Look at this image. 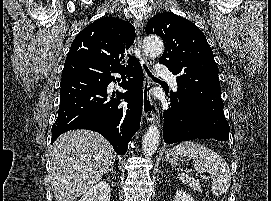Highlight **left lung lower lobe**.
Returning a JSON list of instances; mask_svg holds the SVG:
<instances>
[{
	"instance_id": "1",
	"label": "left lung lower lobe",
	"mask_w": 271,
	"mask_h": 201,
	"mask_svg": "<svg viewBox=\"0 0 271 201\" xmlns=\"http://www.w3.org/2000/svg\"><path fill=\"white\" fill-rule=\"evenodd\" d=\"M168 102L170 103L168 108L163 111V139L166 143L210 138L226 141L223 138H214L205 131L200 123L197 112L184 104L174 94L170 93Z\"/></svg>"
}]
</instances>
